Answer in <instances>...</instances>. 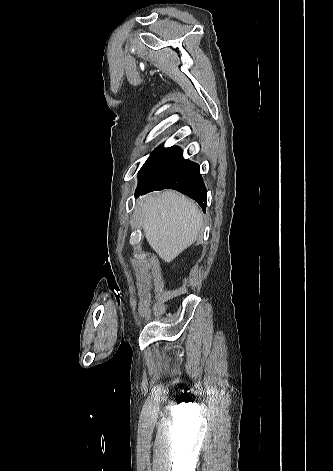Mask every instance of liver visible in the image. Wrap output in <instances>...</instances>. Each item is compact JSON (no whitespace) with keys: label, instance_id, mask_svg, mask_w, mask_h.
<instances>
[{"label":"liver","instance_id":"1","mask_svg":"<svg viewBox=\"0 0 333 471\" xmlns=\"http://www.w3.org/2000/svg\"><path fill=\"white\" fill-rule=\"evenodd\" d=\"M137 204L146 240L163 261L170 262L198 239L202 215L186 196L166 191L144 196Z\"/></svg>","mask_w":333,"mask_h":471}]
</instances>
